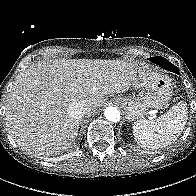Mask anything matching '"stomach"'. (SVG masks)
<instances>
[{
	"label": "stomach",
	"mask_w": 196,
	"mask_h": 196,
	"mask_svg": "<svg viewBox=\"0 0 196 196\" xmlns=\"http://www.w3.org/2000/svg\"><path fill=\"white\" fill-rule=\"evenodd\" d=\"M144 89L142 97L118 96L113 99L126 112L129 121L145 117L149 109H161L172 96V82L164 75L146 70L141 64H135V80L132 85Z\"/></svg>",
	"instance_id": "stomach-1"
}]
</instances>
